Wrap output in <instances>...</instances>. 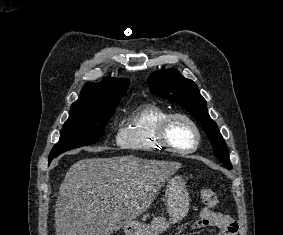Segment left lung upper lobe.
I'll return each instance as SVG.
<instances>
[{"instance_id":"5c2ea615","label":"left lung upper lobe","mask_w":283,"mask_h":235,"mask_svg":"<svg viewBox=\"0 0 283 235\" xmlns=\"http://www.w3.org/2000/svg\"><path fill=\"white\" fill-rule=\"evenodd\" d=\"M148 85L153 94L179 104L199 118L212 143L215 157L223 164H231L227 145L215 121L208 114L206 100L192 80L184 78L176 70L168 69L151 74Z\"/></svg>"}]
</instances>
